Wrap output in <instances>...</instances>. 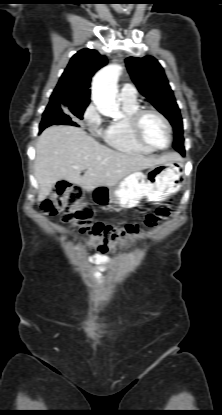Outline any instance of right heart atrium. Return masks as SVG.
I'll return each instance as SVG.
<instances>
[{"label": "right heart atrium", "mask_w": 222, "mask_h": 415, "mask_svg": "<svg viewBox=\"0 0 222 415\" xmlns=\"http://www.w3.org/2000/svg\"><path fill=\"white\" fill-rule=\"evenodd\" d=\"M102 121V116L95 104H89L83 111L82 122L92 133H96L100 130Z\"/></svg>", "instance_id": "1"}]
</instances>
